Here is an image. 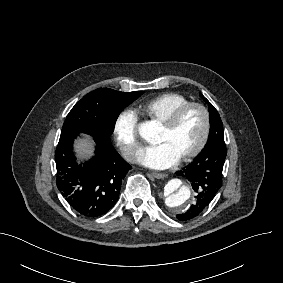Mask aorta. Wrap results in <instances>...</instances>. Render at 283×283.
<instances>
[{"label":"aorta","mask_w":283,"mask_h":283,"mask_svg":"<svg viewBox=\"0 0 283 283\" xmlns=\"http://www.w3.org/2000/svg\"><path fill=\"white\" fill-rule=\"evenodd\" d=\"M158 132V125L152 121L144 122L139 127L140 136L150 142L157 138ZM162 198L169 209L184 212L192 203L193 194L190 185L185 180L174 178L165 184Z\"/></svg>","instance_id":"762f6f07"}]
</instances>
